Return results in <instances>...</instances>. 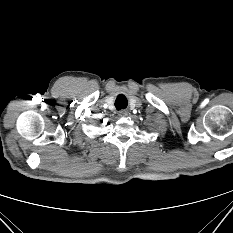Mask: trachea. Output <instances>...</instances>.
<instances>
[{"instance_id":"3493384b","label":"trachea","mask_w":233,"mask_h":233,"mask_svg":"<svg viewBox=\"0 0 233 233\" xmlns=\"http://www.w3.org/2000/svg\"><path fill=\"white\" fill-rule=\"evenodd\" d=\"M128 101L124 95H119L115 101V107L117 110L124 109L127 107Z\"/></svg>"}]
</instances>
